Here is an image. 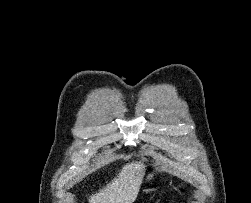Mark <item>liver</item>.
Instances as JSON below:
<instances>
[{
  "label": "liver",
  "mask_w": 251,
  "mask_h": 203,
  "mask_svg": "<svg viewBox=\"0 0 251 203\" xmlns=\"http://www.w3.org/2000/svg\"><path fill=\"white\" fill-rule=\"evenodd\" d=\"M145 165L132 162L122 167L119 174L89 198V203H133L137 198L143 177Z\"/></svg>",
  "instance_id": "6515ba94"
}]
</instances>
